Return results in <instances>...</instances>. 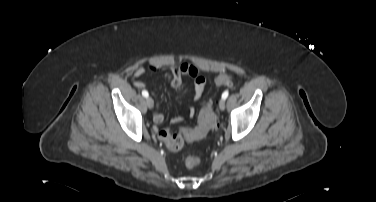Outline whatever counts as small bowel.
Listing matches in <instances>:
<instances>
[{
	"label": "small bowel",
	"instance_id": "small-bowel-1",
	"mask_svg": "<svg viewBox=\"0 0 376 202\" xmlns=\"http://www.w3.org/2000/svg\"><path fill=\"white\" fill-rule=\"evenodd\" d=\"M148 72L164 76L167 78L173 88H179L182 84L183 77H189L194 83L192 93L193 99L198 100L203 94L205 79L198 74L197 69L193 65L184 63L180 66L163 67L159 65H152L138 68L133 74V84L135 87L139 89L144 87V82L140 80V77ZM187 113L189 117H193L195 114V109L190 108ZM152 116L156 123H162L164 121V114L159 105L155 107ZM182 120L183 118L181 116H176L171 119V122L176 124Z\"/></svg>",
	"mask_w": 376,
	"mask_h": 202
}]
</instances>
